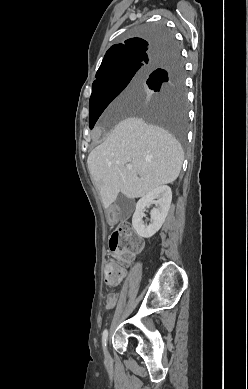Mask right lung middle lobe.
<instances>
[{
  "label": "right lung middle lobe",
  "mask_w": 248,
  "mask_h": 389,
  "mask_svg": "<svg viewBox=\"0 0 248 389\" xmlns=\"http://www.w3.org/2000/svg\"><path fill=\"white\" fill-rule=\"evenodd\" d=\"M149 41L166 39L174 42L172 35L162 26H147L140 32ZM164 70L163 76L149 77L148 87L154 91L150 101L139 103L133 100L123 104L121 109L142 117L148 123L169 130L182 144L186 138L187 102L184 89V64L175 46L157 56L156 62L149 67L133 66L113 70L95 80L89 101L90 129L105 108L132 83H144L149 73Z\"/></svg>",
  "instance_id": "obj_1"
}]
</instances>
